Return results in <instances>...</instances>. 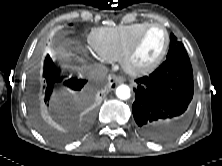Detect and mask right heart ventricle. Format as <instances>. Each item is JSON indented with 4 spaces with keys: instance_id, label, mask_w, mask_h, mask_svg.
Listing matches in <instances>:
<instances>
[{
    "instance_id": "right-heart-ventricle-1",
    "label": "right heart ventricle",
    "mask_w": 222,
    "mask_h": 166,
    "mask_svg": "<svg viewBox=\"0 0 222 166\" xmlns=\"http://www.w3.org/2000/svg\"><path fill=\"white\" fill-rule=\"evenodd\" d=\"M147 24L148 22H138L97 28L90 35V45L104 59L120 60L134 37Z\"/></svg>"
}]
</instances>
